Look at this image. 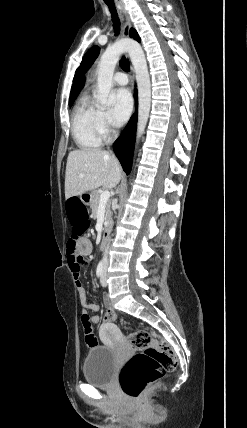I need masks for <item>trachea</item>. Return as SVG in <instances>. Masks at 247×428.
I'll return each mask as SVG.
<instances>
[{
  "label": "trachea",
  "instance_id": "trachea-1",
  "mask_svg": "<svg viewBox=\"0 0 247 428\" xmlns=\"http://www.w3.org/2000/svg\"><path fill=\"white\" fill-rule=\"evenodd\" d=\"M106 4H107L109 11L111 13L115 35H118L119 31H120V20L118 18L116 7H115L114 3L106 2ZM119 64H120V67L124 71L128 72L130 70L129 63L125 57H122Z\"/></svg>",
  "mask_w": 247,
  "mask_h": 428
}]
</instances>
